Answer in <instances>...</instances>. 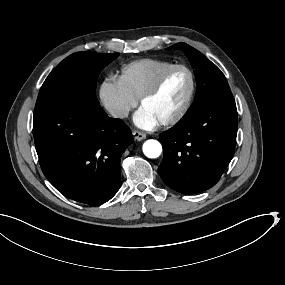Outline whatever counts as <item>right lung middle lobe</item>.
Here are the masks:
<instances>
[{
	"mask_svg": "<svg viewBox=\"0 0 285 285\" xmlns=\"http://www.w3.org/2000/svg\"><path fill=\"white\" fill-rule=\"evenodd\" d=\"M117 57L118 54L77 52L65 58L43 83L34 113L66 101L100 108L95 94L96 79Z\"/></svg>",
	"mask_w": 285,
	"mask_h": 285,
	"instance_id": "obj_1",
	"label": "right lung middle lobe"
}]
</instances>
